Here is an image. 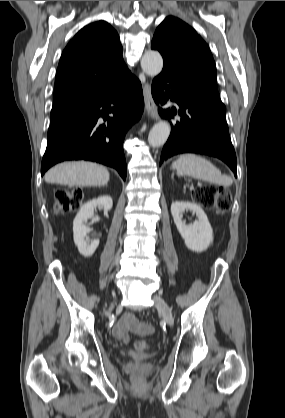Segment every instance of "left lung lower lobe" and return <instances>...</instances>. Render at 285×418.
<instances>
[{"label": "left lung lower lobe", "mask_w": 285, "mask_h": 418, "mask_svg": "<svg viewBox=\"0 0 285 418\" xmlns=\"http://www.w3.org/2000/svg\"><path fill=\"white\" fill-rule=\"evenodd\" d=\"M152 96L157 104L168 100L178 104L175 108L159 109L162 117L182 116L171 123V134L164 145L160 164L181 153L207 154L224 161L237 176L236 154L225 120L226 107L219 96L196 86L172 68L164 66L152 82Z\"/></svg>", "instance_id": "0a47b994"}]
</instances>
